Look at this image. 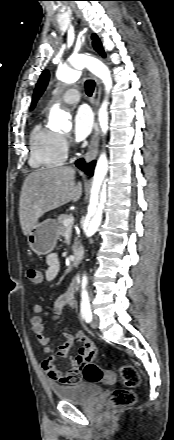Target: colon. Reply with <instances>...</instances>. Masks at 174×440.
<instances>
[{
	"label": "colon",
	"mask_w": 174,
	"mask_h": 440,
	"mask_svg": "<svg viewBox=\"0 0 174 440\" xmlns=\"http://www.w3.org/2000/svg\"><path fill=\"white\" fill-rule=\"evenodd\" d=\"M27 276L34 284H40L43 281V272L39 266H30L27 269ZM44 370L47 365H43ZM120 374L123 382L127 388H136L140 385L141 379L137 369L131 365H122L120 367ZM81 376L91 383L104 382L113 384L116 381L115 373L111 371H103L93 361L85 363L82 369ZM136 402V394L126 388L116 389L111 398L110 405L113 408H124L132 406Z\"/></svg>",
	"instance_id": "colon-1"
}]
</instances>
